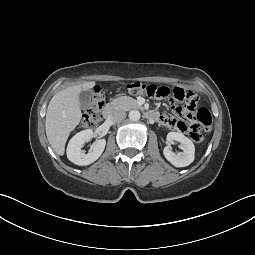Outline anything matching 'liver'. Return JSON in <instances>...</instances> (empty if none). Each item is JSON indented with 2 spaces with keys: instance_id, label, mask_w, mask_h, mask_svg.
Returning <instances> with one entry per match:
<instances>
[{
  "instance_id": "liver-1",
  "label": "liver",
  "mask_w": 255,
  "mask_h": 255,
  "mask_svg": "<svg viewBox=\"0 0 255 255\" xmlns=\"http://www.w3.org/2000/svg\"><path fill=\"white\" fill-rule=\"evenodd\" d=\"M95 82H84L57 92L49 102L45 130L47 139L58 155H64L65 144L71 131L79 124L82 112L79 94L93 88Z\"/></svg>"
}]
</instances>
